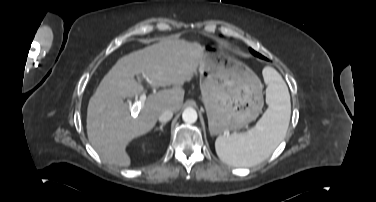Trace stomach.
Segmentation results:
<instances>
[{
    "label": "stomach",
    "instance_id": "0dacf381",
    "mask_svg": "<svg viewBox=\"0 0 376 202\" xmlns=\"http://www.w3.org/2000/svg\"><path fill=\"white\" fill-rule=\"evenodd\" d=\"M199 73L211 134L242 128L258 116L262 85L241 61L217 47H205Z\"/></svg>",
    "mask_w": 376,
    "mask_h": 202
}]
</instances>
